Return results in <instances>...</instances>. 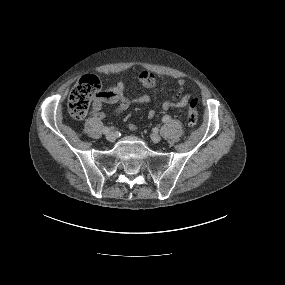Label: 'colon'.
Masks as SVG:
<instances>
[{
	"mask_svg": "<svg viewBox=\"0 0 285 285\" xmlns=\"http://www.w3.org/2000/svg\"><path fill=\"white\" fill-rule=\"evenodd\" d=\"M101 95L99 79L91 74L81 77L72 88L68 97V112L74 119H84L93 101ZM198 121V101L191 99L187 111V125L193 127Z\"/></svg>",
	"mask_w": 285,
	"mask_h": 285,
	"instance_id": "colon-1",
	"label": "colon"
}]
</instances>
